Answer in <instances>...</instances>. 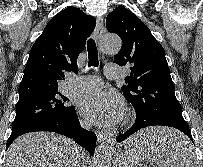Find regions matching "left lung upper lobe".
I'll return each instance as SVG.
<instances>
[{"label": "left lung upper lobe", "mask_w": 203, "mask_h": 167, "mask_svg": "<svg viewBox=\"0 0 203 167\" xmlns=\"http://www.w3.org/2000/svg\"><path fill=\"white\" fill-rule=\"evenodd\" d=\"M106 27L122 39V48L114 62L130 66L131 74L125 78L127 85L121 89L133 105L136 119L182 116L165 51L149 28L123 6L108 14Z\"/></svg>", "instance_id": "left-lung-upper-lobe-1"}]
</instances>
